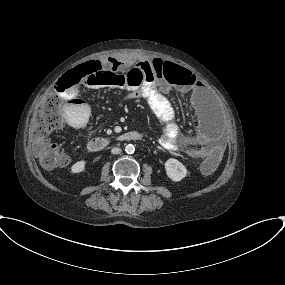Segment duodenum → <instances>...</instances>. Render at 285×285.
Wrapping results in <instances>:
<instances>
[{
  "mask_svg": "<svg viewBox=\"0 0 285 285\" xmlns=\"http://www.w3.org/2000/svg\"><path fill=\"white\" fill-rule=\"evenodd\" d=\"M142 138L143 136L141 133L137 131H128L114 138L101 137L92 139L88 144V148L91 152H100L113 144L140 141Z\"/></svg>",
  "mask_w": 285,
  "mask_h": 285,
  "instance_id": "duodenum-1",
  "label": "duodenum"
}]
</instances>
